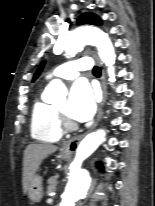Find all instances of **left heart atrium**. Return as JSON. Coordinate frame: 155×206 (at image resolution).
I'll list each match as a JSON object with an SVG mask.
<instances>
[{"instance_id": "39dd6f15", "label": "left heart atrium", "mask_w": 155, "mask_h": 206, "mask_svg": "<svg viewBox=\"0 0 155 206\" xmlns=\"http://www.w3.org/2000/svg\"><path fill=\"white\" fill-rule=\"evenodd\" d=\"M66 112L75 121L90 119L95 112V95L89 84L83 80L74 83L70 90Z\"/></svg>"}]
</instances>
